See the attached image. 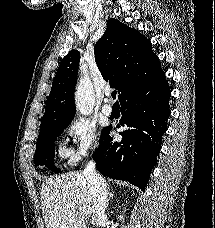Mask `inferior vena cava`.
Masks as SVG:
<instances>
[{
  "instance_id": "602c4592",
  "label": "inferior vena cava",
  "mask_w": 215,
  "mask_h": 228,
  "mask_svg": "<svg viewBox=\"0 0 215 228\" xmlns=\"http://www.w3.org/2000/svg\"><path fill=\"white\" fill-rule=\"evenodd\" d=\"M94 160H90L83 170V174L90 186L93 196V204L95 208V218L97 222H101L105 216V208L107 204L108 188L107 184L95 170Z\"/></svg>"
}]
</instances>
